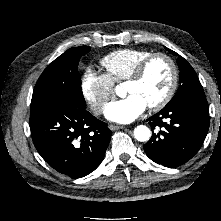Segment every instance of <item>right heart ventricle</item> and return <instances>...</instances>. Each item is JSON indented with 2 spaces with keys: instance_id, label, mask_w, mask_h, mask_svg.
<instances>
[{
  "instance_id": "1",
  "label": "right heart ventricle",
  "mask_w": 221,
  "mask_h": 221,
  "mask_svg": "<svg viewBox=\"0 0 221 221\" xmlns=\"http://www.w3.org/2000/svg\"><path fill=\"white\" fill-rule=\"evenodd\" d=\"M150 54L144 49H118L103 57L101 65L113 82H121L127 80L137 64Z\"/></svg>"
}]
</instances>
